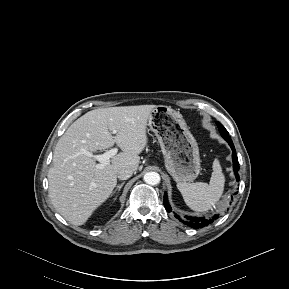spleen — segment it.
<instances>
[{"mask_svg": "<svg viewBox=\"0 0 289 289\" xmlns=\"http://www.w3.org/2000/svg\"><path fill=\"white\" fill-rule=\"evenodd\" d=\"M212 168L213 172L209 184L203 182L177 183V188L186 205L194 211L209 210L223 194L225 176L218 159L214 160Z\"/></svg>", "mask_w": 289, "mask_h": 289, "instance_id": "obj_1", "label": "spleen"}]
</instances>
